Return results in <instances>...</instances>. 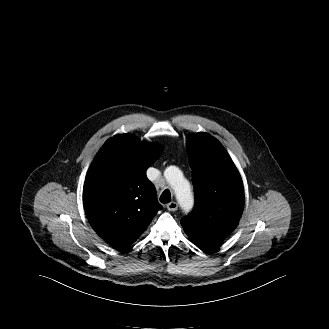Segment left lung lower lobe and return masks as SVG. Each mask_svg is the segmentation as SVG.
I'll list each match as a JSON object with an SVG mask.
<instances>
[{
	"label": "left lung lower lobe",
	"mask_w": 329,
	"mask_h": 329,
	"mask_svg": "<svg viewBox=\"0 0 329 329\" xmlns=\"http://www.w3.org/2000/svg\"><path fill=\"white\" fill-rule=\"evenodd\" d=\"M223 240L219 239V240H213V241H203V242L196 243V245H198L200 247V249L203 250L204 252H210L213 249H215L216 246L219 243H221Z\"/></svg>",
	"instance_id": "obj_1"
}]
</instances>
